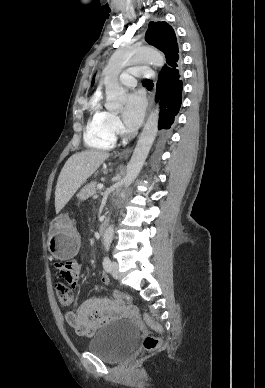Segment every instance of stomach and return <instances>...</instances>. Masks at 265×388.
<instances>
[{
    "label": "stomach",
    "instance_id": "1",
    "mask_svg": "<svg viewBox=\"0 0 265 388\" xmlns=\"http://www.w3.org/2000/svg\"><path fill=\"white\" fill-rule=\"evenodd\" d=\"M48 246L50 253L61 260L70 259L77 253L79 237L68 215H60L51 222Z\"/></svg>",
    "mask_w": 265,
    "mask_h": 388
}]
</instances>
